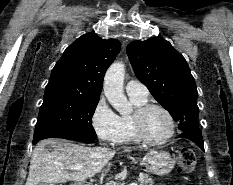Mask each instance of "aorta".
<instances>
[{
  "label": "aorta",
  "mask_w": 233,
  "mask_h": 185,
  "mask_svg": "<svg viewBox=\"0 0 233 185\" xmlns=\"http://www.w3.org/2000/svg\"><path fill=\"white\" fill-rule=\"evenodd\" d=\"M124 75V64L121 62L113 63L105 74L103 85L107 100L121 115L129 114L132 111V106L123 90Z\"/></svg>",
  "instance_id": "1"
}]
</instances>
